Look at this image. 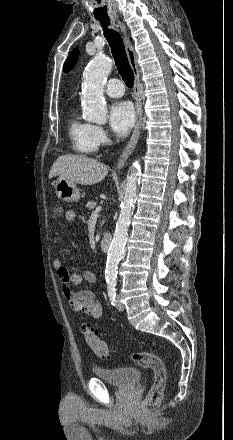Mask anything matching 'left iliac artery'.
Here are the masks:
<instances>
[{"label":"left iliac artery","instance_id":"obj_1","mask_svg":"<svg viewBox=\"0 0 233 440\" xmlns=\"http://www.w3.org/2000/svg\"><path fill=\"white\" fill-rule=\"evenodd\" d=\"M107 290H108V296L111 301V304L115 306V297H116V281L115 280H109L107 281Z\"/></svg>","mask_w":233,"mask_h":440}]
</instances>
